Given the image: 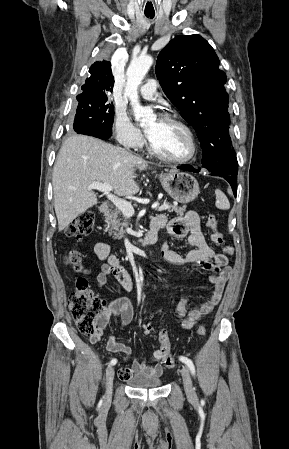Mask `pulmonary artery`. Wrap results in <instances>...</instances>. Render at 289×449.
Here are the masks:
<instances>
[{
	"instance_id": "obj_1",
	"label": "pulmonary artery",
	"mask_w": 289,
	"mask_h": 449,
	"mask_svg": "<svg viewBox=\"0 0 289 449\" xmlns=\"http://www.w3.org/2000/svg\"><path fill=\"white\" fill-rule=\"evenodd\" d=\"M158 83L155 79H149L139 89L140 95L146 100H155L157 97Z\"/></svg>"
}]
</instances>
